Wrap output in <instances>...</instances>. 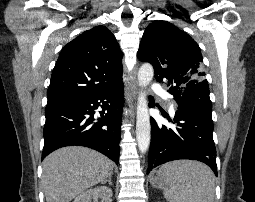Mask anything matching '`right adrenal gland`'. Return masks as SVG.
Here are the masks:
<instances>
[{
	"label": "right adrenal gland",
	"mask_w": 255,
	"mask_h": 202,
	"mask_svg": "<svg viewBox=\"0 0 255 202\" xmlns=\"http://www.w3.org/2000/svg\"><path fill=\"white\" fill-rule=\"evenodd\" d=\"M106 183H108L110 186H113L111 176H109L108 179H106L105 181L102 182V184H106Z\"/></svg>",
	"instance_id": "1"
}]
</instances>
